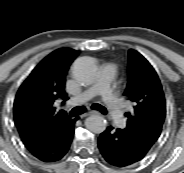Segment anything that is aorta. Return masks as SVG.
<instances>
[{"mask_svg":"<svg viewBox=\"0 0 184 173\" xmlns=\"http://www.w3.org/2000/svg\"><path fill=\"white\" fill-rule=\"evenodd\" d=\"M81 81L84 83H92L95 79L96 70L93 64L88 63L81 68ZM88 127L96 133H102L106 130L107 121L100 115H94L88 119Z\"/></svg>","mask_w":184,"mask_h":173,"instance_id":"1","label":"aorta"}]
</instances>
